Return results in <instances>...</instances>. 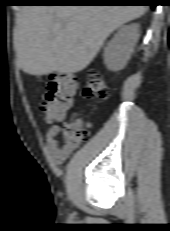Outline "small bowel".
Wrapping results in <instances>:
<instances>
[{
  "mask_svg": "<svg viewBox=\"0 0 170 231\" xmlns=\"http://www.w3.org/2000/svg\"><path fill=\"white\" fill-rule=\"evenodd\" d=\"M62 128L58 125L51 126L45 136L47 152L51 160L57 164L63 163L74 149L64 145H60L58 137Z\"/></svg>",
  "mask_w": 170,
  "mask_h": 231,
  "instance_id": "small-bowel-1",
  "label": "small bowel"
}]
</instances>
